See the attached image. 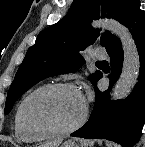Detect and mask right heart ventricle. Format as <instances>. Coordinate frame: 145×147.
Here are the masks:
<instances>
[{"label":"right heart ventricle","mask_w":145,"mask_h":147,"mask_svg":"<svg viewBox=\"0 0 145 147\" xmlns=\"http://www.w3.org/2000/svg\"><path fill=\"white\" fill-rule=\"evenodd\" d=\"M25 98L19 103V105H18V107L16 109V112H15V117H14L15 136L21 142H34V141L42 140V139H44L46 137L45 135H43L41 133L28 131L24 127V125H23V123L21 121L20 112H21V107H22V104H23Z\"/></svg>","instance_id":"1"}]
</instances>
